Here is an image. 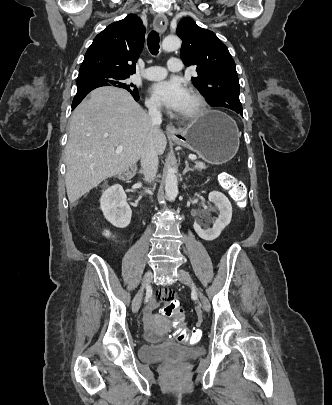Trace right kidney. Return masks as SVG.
<instances>
[{
    "label": "right kidney",
    "instance_id": "ca27d5eb",
    "mask_svg": "<svg viewBox=\"0 0 332 405\" xmlns=\"http://www.w3.org/2000/svg\"><path fill=\"white\" fill-rule=\"evenodd\" d=\"M100 208L106 220L113 226L118 228L129 226L132 211L120 184H114L103 192L100 198Z\"/></svg>",
    "mask_w": 332,
    "mask_h": 405
}]
</instances>
